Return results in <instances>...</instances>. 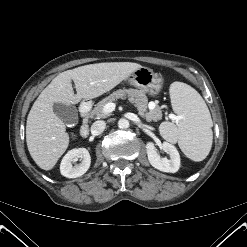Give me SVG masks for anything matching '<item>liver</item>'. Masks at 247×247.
Returning <instances> with one entry per match:
<instances>
[{"label": "liver", "mask_w": 247, "mask_h": 247, "mask_svg": "<svg viewBox=\"0 0 247 247\" xmlns=\"http://www.w3.org/2000/svg\"><path fill=\"white\" fill-rule=\"evenodd\" d=\"M142 66L131 62L97 63L56 76L34 102L26 124L28 151L43 170H51L69 145L64 122L53 112L54 103L77 104L103 95ZM77 94H74L71 82Z\"/></svg>", "instance_id": "obj_1"}]
</instances>
